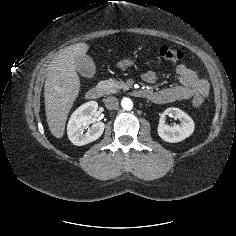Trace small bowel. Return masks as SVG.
Returning a JSON list of instances; mask_svg holds the SVG:
<instances>
[{"label": "small bowel", "mask_w": 236, "mask_h": 236, "mask_svg": "<svg viewBox=\"0 0 236 236\" xmlns=\"http://www.w3.org/2000/svg\"><path fill=\"white\" fill-rule=\"evenodd\" d=\"M178 86L167 87L161 90H146L145 96L158 104L171 103L177 100H186L199 95L205 98L209 93L207 81L200 77L199 73L181 63L176 67ZM145 83L152 85L157 81L154 71H147L142 75Z\"/></svg>", "instance_id": "c3829d8e"}]
</instances>
